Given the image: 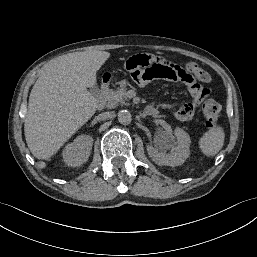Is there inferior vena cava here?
<instances>
[{
    "mask_svg": "<svg viewBox=\"0 0 257 257\" xmlns=\"http://www.w3.org/2000/svg\"><path fill=\"white\" fill-rule=\"evenodd\" d=\"M111 116V113L110 112H104V113H101L97 116V119L98 120H106L108 119L109 117Z\"/></svg>",
    "mask_w": 257,
    "mask_h": 257,
    "instance_id": "1",
    "label": "inferior vena cava"
}]
</instances>
